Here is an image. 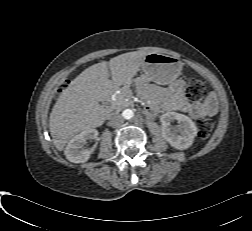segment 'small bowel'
<instances>
[{"label": "small bowel", "instance_id": "small-bowel-1", "mask_svg": "<svg viewBox=\"0 0 252 231\" xmlns=\"http://www.w3.org/2000/svg\"><path fill=\"white\" fill-rule=\"evenodd\" d=\"M177 109L189 113L195 118L204 117L207 114L206 107L202 104L191 105L187 101L178 98L176 103Z\"/></svg>", "mask_w": 252, "mask_h": 231}]
</instances>
